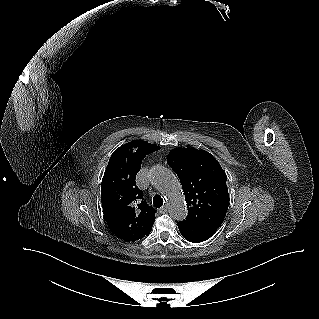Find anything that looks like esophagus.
I'll list each match as a JSON object with an SVG mask.
<instances>
[{
	"mask_svg": "<svg viewBox=\"0 0 319 319\" xmlns=\"http://www.w3.org/2000/svg\"><path fill=\"white\" fill-rule=\"evenodd\" d=\"M158 212H159L160 214L166 213V212H167V206L161 207V208L158 210Z\"/></svg>",
	"mask_w": 319,
	"mask_h": 319,
	"instance_id": "esophagus-1",
	"label": "esophagus"
}]
</instances>
